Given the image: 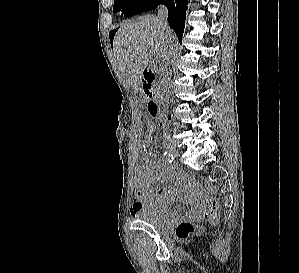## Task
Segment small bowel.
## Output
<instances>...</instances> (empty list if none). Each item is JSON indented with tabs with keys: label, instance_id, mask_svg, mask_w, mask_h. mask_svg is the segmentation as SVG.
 <instances>
[{
	"label": "small bowel",
	"instance_id": "1",
	"mask_svg": "<svg viewBox=\"0 0 299 273\" xmlns=\"http://www.w3.org/2000/svg\"><path fill=\"white\" fill-rule=\"evenodd\" d=\"M146 129V133H138L136 135V142L140 149H146V140L152 141V133L155 129L154 123L148 121ZM147 155L149 158L157 160V162L139 164L137 166L135 180L137 191L131 206V215L136 217L142 210H149L157 214H169V204L179 199L191 205L187 216L196 217L200 205L196 196L187 190L185 179L169 164L158 160V155L154 151H147ZM157 181L173 182L175 184L151 188Z\"/></svg>",
	"mask_w": 299,
	"mask_h": 273
}]
</instances>
